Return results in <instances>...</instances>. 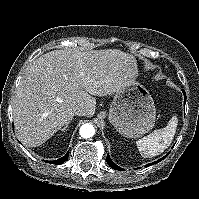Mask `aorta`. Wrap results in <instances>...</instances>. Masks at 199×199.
Instances as JSON below:
<instances>
[{
	"mask_svg": "<svg viewBox=\"0 0 199 199\" xmlns=\"http://www.w3.org/2000/svg\"><path fill=\"white\" fill-rule=\"evenodd\" d=\"M79 133L83 138H90L95 134V128L92 124L86 123L80 127Z\"/></svg>",
	"mask_w": 199,
	"mask_h": 199,
	"instance_id": "obj_1",
	"label": "aorta"
}]
</instances>
